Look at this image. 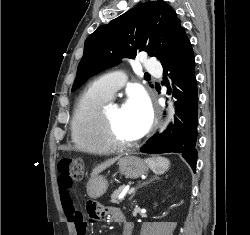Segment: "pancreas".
I'll list each match as a JSON object with an SVG mask.
<instances>
[{
    "mask_svg": "<svg viewBox=\"0 0 250 235\" xmlns=\"http://www.w3.org/2000/svg\"><path fill=\"white\" fill-rule=\"evenodd\" d=\"M125 186H120L117 190H115L113 192V194L111 195V202L112 203H120L122 201V199H119V195L121 194V192L124 190Z\"/></svg>",
    "mask_w": 250,
    "mask_h": 235,
    "instance_id": "obj_1",
    "label": "pancreas"
}]
</instances>
